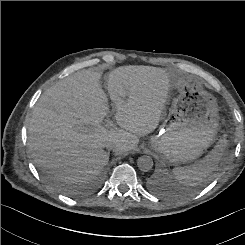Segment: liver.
Masks as SVG:
<instances>
[{"label": "liver", "instance_id": "obj_1", "mask_svg": "<svg viewBox=\"0 0 245 245\" xmlns=\"http://www.w3.org/2000/svg\"><path fill=\"white\" fill-rule=\"evenodd\" d=\"M102 73L78 71L48 88L36 103L28 126V148L34 163L66 183L87 181L114 153L136 148L139 137L154 131L170 88L169 73L159 67L123 66L108 76V93L116 106L120 129L101 122L109 111L101 88Z\"/></svg>", "mask_w": 245, "mask_h": 245}]
</instances>
